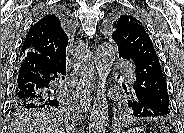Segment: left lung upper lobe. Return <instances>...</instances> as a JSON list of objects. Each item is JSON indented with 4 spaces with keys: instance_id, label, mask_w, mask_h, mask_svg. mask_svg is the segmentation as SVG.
I'll return each mask as SVG.
<instances>
[{
    "instance_id": "obj_1",
    "label": "left lung upper lobe",
    "mask_w": 184,
    "mask_h": 133,
    "mask_svg": "<svg viewBox=\"0 0 184 133\" xmlns=\"http://www.w3.org/2000/svg\"><path fill=\"white\" fill-rule=\"evenodd\" d=\"M108 33L118 45L119 57L136 61L143 57L148 61L153 60L160 66L158 56L155 51L154 44L148 34L143 23L129 12L117 13L108 23ZM161 67V66H160ZM125 92L130 96L131 100L126 102L128 113L130 112V103L134 101L131 91Z\"/></svg>"
}]
</instances>
